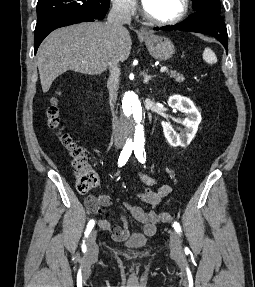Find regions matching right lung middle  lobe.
Wrapping results in <instances>:
<instances>
[{
  "label": "right lung middle lobe",
  "mask_w": 255,
  "mask_h": 287,
  "mask_svg": "<svg viewBox=\"0 0 255 287\" xmlns=\"http://www.w3.org/2000/svg\"><path fill=\"white\" fill-rule=\"evenodd\" d=\"M109 8V0H38L37 22L66 14L84 13L94 19H103Z\"/></svg>",
  "instance_id": "obj_1"
}]
</instances>
